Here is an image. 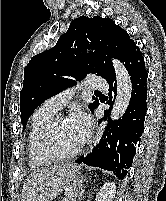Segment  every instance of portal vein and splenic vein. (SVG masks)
Masks as SVG:
<instances>
[{"instance_id": "obj_1", "label": "portal vein and splenic vein", "mask_w": 166, "mask_h": 201, "mask_svg": "<svg viewBox=\"0 0 166 201\" xmlns=\"http://www.w3.org/2000/svg\"><path fill=\"white\" fill-rule=\"evenodd\" d=\"M64 190H65L66 192H69V191L71 190V187H65Z\"/></svg>"}]
</instances>
